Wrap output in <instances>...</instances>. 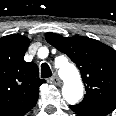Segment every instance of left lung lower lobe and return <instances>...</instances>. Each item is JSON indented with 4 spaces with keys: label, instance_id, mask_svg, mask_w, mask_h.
I'll list each match as a JSON object with an SVG mask.
<instances>
[{
    "label": "left lung lower lobe",
    "instance_id": "obj_1",
    "mask_svg": "<svg viewBox=\"0 0 116 116\" xmlns=\"http://www.w3.org/2000/svg\"><path fill=\"white\" fill-rule=\"evenodd\" d=\"M70 108L78 115V116H106L112 112V110L100 107H83V106H70Z\"/></svg>",
    "mask_w": 116,
    "mask_h": 116
}]
</instances>
